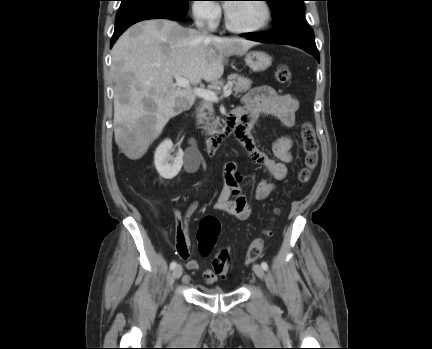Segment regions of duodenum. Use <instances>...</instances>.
Instances as JSON below:
<instances>
[{
	"instance_id": "1",
	"label": "duodenum",
	"mask_w": 432,
	"mask_h": 349,
	"mask_svg": "<svg viewBox=\"0 0 432 349\" xmlns=\"http://www.w3.org/2000/svg\"><path fill=\"white\" fill-rule=\"evenodd\" d=\"M241 116L242 113L238 109L230 112L223 122L220 130L206 140V149L210 156L216 155L226 139L235 133Z\"/></svg>"
}]
</instances>
